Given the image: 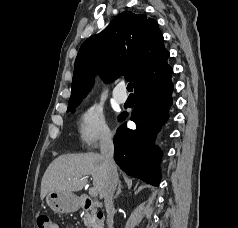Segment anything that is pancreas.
Returning <instances> with one entry per match:
<instances>
[{
  "mask_svg": "<svg viewBox=\"0 0 238 228\" xmlns=\"http://www.w3.org/2000/svg\"><path fill=\"white\" fill-rule=\"evenodd\" d=\"M84 224L87 228H96L97 224L95 222V211L93 210L91 213L86 212L84 214Z\"/></svg>",
  "mask_w": 238,
  "mask_h": 228,
  "instance_id": "pancreas-1",
  "label": "pancreas"
}]
</instances>
